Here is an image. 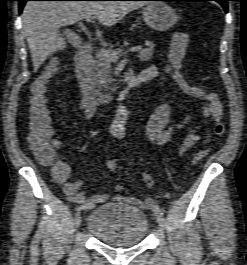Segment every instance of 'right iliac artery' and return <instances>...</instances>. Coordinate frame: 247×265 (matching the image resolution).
Returning <instances> with one entry per match:
<instances>
[{
    "label": "right iliac artery",
    "mask_w": 247,
    "mask_h": 265,
    "mask_svg": "<svg viewBox=\"0 0 247 265\" xmlns=\"http://www.w3.org/2000/svg\"><path fill=\"white\" fill-rule=\"evenodd\" d=\"M94 207L95 205L93 203H85V204L77 206L76 210H89Z\"/></svg>",
    "instance_id": "1"
}]
</instances>
